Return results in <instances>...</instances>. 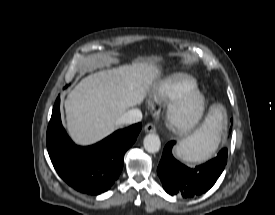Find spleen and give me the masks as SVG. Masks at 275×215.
Listing matches in <instances>:
<instances>
[{
    "label": "spleen",
    "mask_w": 275,
    "mask_h": 215,
    "mask_svg": "<svg viewBox=\"0 0 275 215\" xmlns=\"http://www.w3.org/2000/svg\"><path fill=\"white\" fill-rule=\"evenodd\" d=\"M224 120L222 109L212 108L202 126L176 147L177 156L186 162H201L210 158L217 149Z\"/></svg>",
    "instance_id": "obj_1"
}]
</instances>
